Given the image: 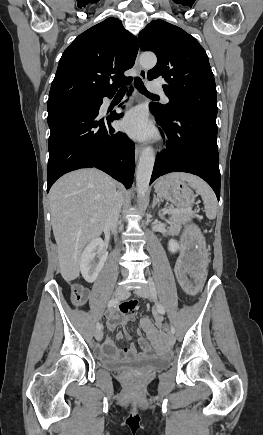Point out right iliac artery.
I'll return each instance as SVG.
<instances>
[{
  "label": "right iliac artery",
  "mask_w": 263,
  "mask_h": 435,
  "mask_svg": "<svg viewBox=\"0 0 263 435\" xmlns=\"http://www.w3.org/2000/svg\"><path fill=\"white\" fill-rule=\"evenodd\" d=\"M118 303H119V299H118V298H113V299H111V300L109 301V303H108V308L115 307ZM101 327H102V325H101L100 323H97L96 328H97L98 330H100Z\"/></svg>",
  "instance_id": "obj_1"
}]
</instances>
